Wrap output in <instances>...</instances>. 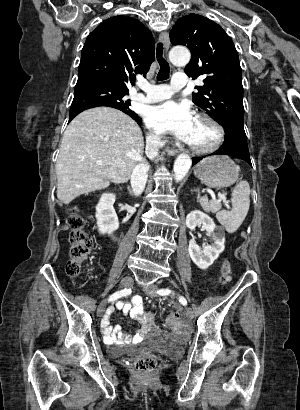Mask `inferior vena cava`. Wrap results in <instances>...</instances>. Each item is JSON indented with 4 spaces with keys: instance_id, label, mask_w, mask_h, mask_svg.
I'll return each instance as SVG.
<instances>
[{
    "instance_id": "inferior-vena-cava-1",
    "label": "inferior vena cava",
    "mask_w": 300,
    "mask_h": 410,
    "mask_svg": "<svg viewBox=\"0 0 300 410\" xmlns=\"http://www.w3.org/2000/svg\"><path fill=\"white\" fill-rule=\"evenodd\" d=\"M162 145L163 142L159 136L153 135L148 137L146 140V153L148 157H156L158 148ZM148 170L149 165L147 163H140L135 167L131 176V186L134 195L139 196L144 191L148 179Z\"/></svg>"
}]
</instances>
